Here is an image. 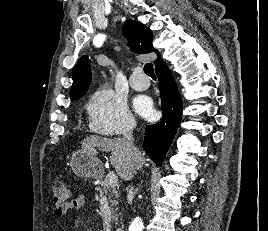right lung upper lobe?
Instances as JSON below:
<instances>
[{
    "label": "right lung upper lobe",
    "instance_id": "obj_1",
    "mask_svg": "<svg viewBox=\"0 0 268 231\" xmlns=\"http://www.w3.org/2000/svg\"><path fill=\"white\" fill-rule=\"evenodd\" d=\"M123 34L129 40V46L137 53H151L158 51L152 46L153 33L152 31L139 21L128 20L123 25ZM165 64L160 56L155 61L157 69ZM91 83V68L88 56H82L73 68V85L70 91L71 100H76L82 97Z\"/></svg>",
    "mask_w": 268,
    "mask_h": 231
}]
</instances>
